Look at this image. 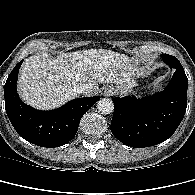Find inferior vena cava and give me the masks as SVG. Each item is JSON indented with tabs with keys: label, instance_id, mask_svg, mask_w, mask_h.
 <instances>
[{
	"label": "inferior vena cava",
	"instance_id": "602c4592",
	"mask_svg": "<svg viewBox=\"0 0 195 195\" xmlns=\"http://www.w3.org/2000/svg\"><path fill=\"white\" fill-rule=\"evenodd\" d=\"M74 91L77 94L87 95V94H89L91 92V88H90L89 85L82 84V85L74 87Z\"/></svg>",
	"mask_w": 195,
	"mask_h": 195
}]
</instances>
